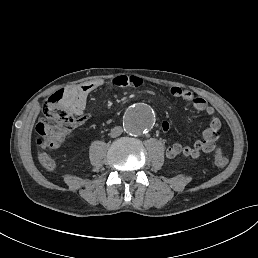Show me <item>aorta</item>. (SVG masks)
Masks as SVG:
<instances>
[{
	"label": "aorta",
	"instance_id": "762f6f07",
	"mask_svg": "<svg viewBox=\"0 0 258 258\" xmlns=\"http://www.w3.org/2000/svg\"><path fill=\"white\" fill-rule=\"evenodd\" d=\"M155 116L146 104H138L126 112L124 116L125 131L132 136H139L152 128Z\"/></svg>",
	"mask_w": 258,
	"mask_h": 258
}]
</instances>
